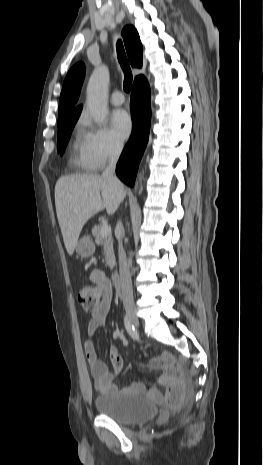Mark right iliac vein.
I'll return each mask as SVG.
<instances>
[{
    "mask_svg": "<svg viewBox=\"0 0 263 465\" xmlns=\"http://www.w3.org/2000/svg\"><path fill=\"white\" fill-rule=\"evenodd\" d=\"M127 316L129 318V320L135 325V326H138L139 325V320L136 316V313L133 309H129L127 310Z\"/></svg>",
    "mask_w": 263,
    "mask_h": 465,
    "instance_id": "1",
    "label": "right iliac vein"
}]
</instances>
